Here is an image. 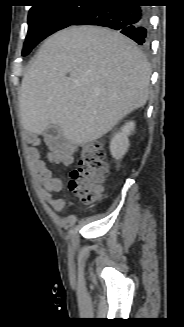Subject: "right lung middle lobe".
<instances>
[{
	"mask_svg": "<svg viewBox=\"0 0 184 327\" xmlns=\"http://www.w3.org/2000/svg\"><path fill=\"white\" fill-rule=\"evenodd\" d=\"M77 1H86L79 5ZM94 0H51L33 6L28 15V33L22 54L27 55L40 41L72 25Z\"/></svg>",
	"mask_w": 184,
	"mask_h": 327,
	"instance_id": "dd1d6c3e",
	"label": "right lung middle lobe"
}]
</instances>
